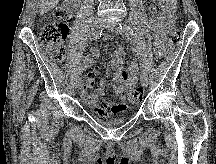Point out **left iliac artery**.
<instances>
[{
	"label": "left iliac artery",
	"mask_w": 216,
	"mask_h": 164,
	"mask_svg": "<svg viewBox=\"0 0 216 164\" xmlns=\"http://www.w3.org/2000/svg\"><path fill=\"white\" fill-rule=\"evenodd\" d=\"M119 26H120V29H121L123 32H125V34L128 36V39H129L132 43H134L136 37H135V34H134L133 29H132L129 25L124 24V23L119 24ZM136 55H138V53H137ZM141 73H142V74H145V73H146V70H145V69H142V70H141Z\"/></svg>",
	"instance_id": "left-iliac-artery-1"
}]
</instances>
